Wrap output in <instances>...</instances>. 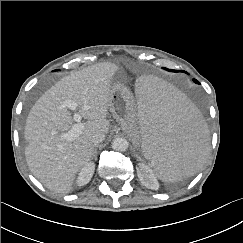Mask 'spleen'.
Masks as SVG:
<instances>
[{"mask_svg":"<svg viewBox=\"0 0 243 243\" xmlns=\"http://www.w3.org/2000/svg\"><path fill=\"white\" fill-rule=\"evenodd\" d=\"M133 94L141 160L163 182L194 174L208 150V130L187 93L146 73L135 81Z\"/></svg>","mask_w":243,"mask_h":243,"instance_id":"3e777b00","label":"spleen"}]
</instances>
